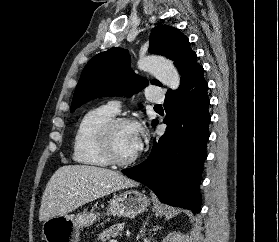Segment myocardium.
Here are the masks:
<instances>
[{
  "label": "myocardium",
  "mask_w": 279,
  "mask_h": 242,
  "mask_svg": "<svg viewBox=\"0 0 279 242\" xmlns=\"http://www.w3.org/2000/svg\"><path fill=\"white\" fill-rule=\"evenodd\" d=\"M123 125H134L139 127V124L134 119L114 117L101 124L96 133L97 142L103 155L110 164L118 166H127L134 163L139 155V153L136 152L133 156L126 159L117 156L114 150L113 139L115 131Z\"/></svg>",
  "instance_id": "1"
}]
</instances>
